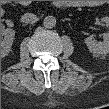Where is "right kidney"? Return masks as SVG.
<instances>
[{"label": "right kidney", "mask_w": 109, "mask_h": 109, "mask_svg": "<svg viewBox=\"0 0 109 109\" xmlns=\"http://www.w3.org/2000/svg\"><path fill=\"white\" fill-rule=\"evenodd\" d=\"M2 39H1V55L4 57L8 55L10 52L14 36H15V31L13 29H3L2 32Z\"/></svg>", "instance_id": "1"}]
</instances>
